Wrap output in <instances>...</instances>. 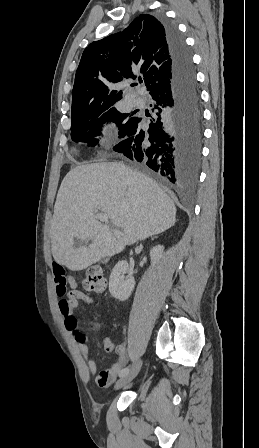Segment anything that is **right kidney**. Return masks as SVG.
Masks as SVG:
<instances>
[{
	"instance_id": "right-kidney-1",
	"label": "right kidney",
	"mask_w": 259,
	"mask_h": 448,
	"mask_svg": "<svg viewBox=\"0 0 259 448\" xmlns=\"http://www.w3.org/2000/svg\"><path fill=\"white\" fill-rule=\"evenodd\" d=\"M163 246H155L150 250V258L153 266L156 262L162 258ZM130 268L126 260H121L116 266H114L110 278H109V292L113 298L120 300V302H125L131 296L135 280L133 276H124V274H129Z\"/></svg>"
}]
</instances>
